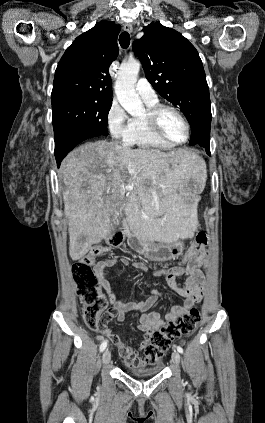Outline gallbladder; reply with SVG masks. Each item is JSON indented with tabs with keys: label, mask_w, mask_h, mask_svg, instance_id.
Returning <instances> with one entry per match:
<instances>
[{
	"label": "gallbladder",
	"mask_w": 265,
	"mask_h": 423,
	"mask_svg": "<svg viewBox=\"0 0 265 423\" xmlns=\"http://www.w3.org/2000/svg\"><path fill=\"white\" fill-rule=\"evenodd\" d=\"M113 226L116 227L119 224V220L117 218L113 219Z\"/></svg>",
	"instance_id": "bac80fb5"
}]
</instances>
